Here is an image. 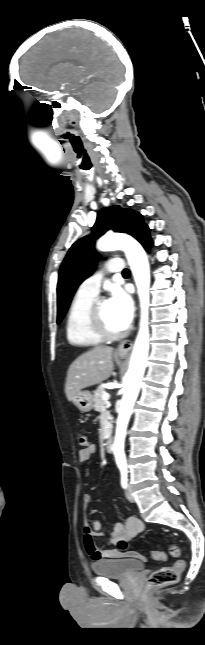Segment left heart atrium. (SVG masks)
Here are the masks:
<instances>
[{"label": "left heart atrium", "instance_id": "obj_1", "mask_svg": "<svg viewBox=\"0 0 205 645\" xmlns=\"http://www.w3.org/2000/svg\"><path fill=\"white\" fill-rule=\"evenodd\" d=\"M108 303L120 328L126 329L134 315V303L130 294L115 286L111 289Z\"/></svg>", "mask_w": 205, "mask_h": 645}]
</instances>
